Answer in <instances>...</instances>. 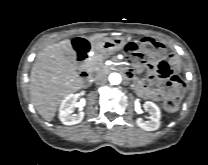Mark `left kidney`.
<instances>
[{"mask_svg":"<svg viewBox=\"0 0 208 165\" xmlns=\"http://www.w3.org/2000/svg\"><path fill=\"white\" fill-rule=\"evenodd\" d=\"M144 108L149 110L150 120L144 121L142 118H138L136 120L137 125L146 131L157 130L160 127V118H161L160 109L155 103L151 101H146L144 103Z\"/></svg>","mask_w":208,"mask_h":165,"instance_id":"5707ae66","label":"left kidney"}]
</instances>
